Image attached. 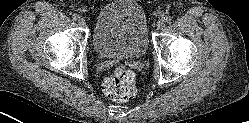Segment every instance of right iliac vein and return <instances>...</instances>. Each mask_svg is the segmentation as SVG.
<instances>
[{
	"instance_id": "1",
	"label": "right iliac vein",
	"mask_w": 249,
	"mask_h": 123,
	"mask_svg": "<svg viewBox=\"0 0 249 123\" xmlns=\"http://www.w3.org/2000/svg\"><path fill=\"white\" fill-rule=\"evenodd\" d=\"M78 25L81 27H84L86 25V21L84 18H79L78 19Z\"/></svg>"
}]
</instances>
